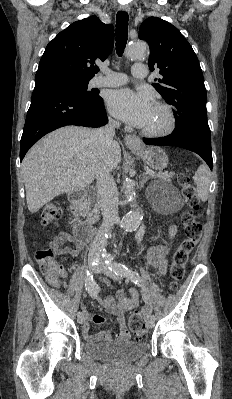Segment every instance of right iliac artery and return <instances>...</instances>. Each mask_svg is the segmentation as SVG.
Instances as JSON below:
<instances>
[{"mask_svg": "<svg viewBox=\"0 0 232 399\" xmlns=\"http://www.w3.org/2000/svg\"><path fill=\"white\" fill-rule=\"evenodd\" d=\"M100 263V257H96L93 259L92 265L97 266ZM85 289L89 293L91 297H97L98 295V284L94 280L93 276H88L85 280ZM78 317H82L83 313L79 311L77 313Z\"/></svg>", "mask_w": 232, "mask_h": 399, "instance_id": "right-iliac-artery-1", "label": "right iliac artery"}]
</instances>
